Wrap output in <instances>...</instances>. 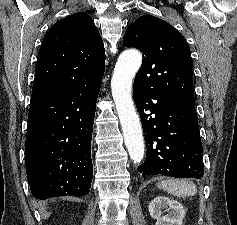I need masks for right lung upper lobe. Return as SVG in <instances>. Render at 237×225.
<instances>
[{
  "label": "right lung upper lobe",
  "instance_id": "1",
  "mask_svg": "<svg viewBox=\"0 0 237 225\" xmlns=\"http://www.w3.org/2000/svg\"><path fill=\"white\" fill-rule=\"evenodd\" d=\"M31 102L56 99L102 80L104 44L93 20L75 13L47 32L38 54Z\"/></svg>",
  "mask_w": 237,
  "mask_h": 225
}]
</instances>
